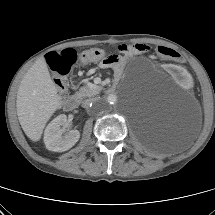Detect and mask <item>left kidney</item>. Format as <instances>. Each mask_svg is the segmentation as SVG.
<instances>
[{
    "label": "left kidney",
    "mask_w": 215,
    "mask_h": 215,
    "mask_svg": "<svg viewBox=\"0 0 215 215\" xmlns=\"http://www.w3.org/2000/svg\"><path fill=\"white\" fill-rule=\"evenodd\" d=\"M165 71L168 75L172 76L175 80H177V82L181 86L187 89H192L196 85L195 78L185 72L180 66H174L172 64H169L166 66Z\"/></svg>",
    "instance_id": "left-kidney-1"
}]
</instances>
